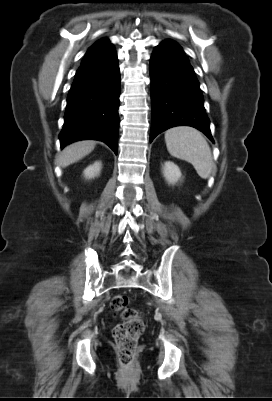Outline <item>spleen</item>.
I'll return each instance as SVG.
<instances>
[{"label":"spleen","mask_w":272,"mask_h":401,"mask_svg":"<svg viewBox=\"0 0 272 401\" xmlns=\"http://www.w3.org/2000/svg\"><path fill=\"white\" fill-rule=\"evenodd\" d=\"M169 153L193 165L202 179L209 178L213 168L210 147L203 135L191 127H175L165 133Z\"/></svg>","instance_id":"obj_1"}]
</instances>
